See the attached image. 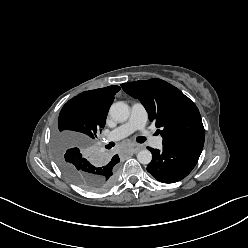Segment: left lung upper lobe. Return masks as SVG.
I'll return each mask as SVG.
<instances>
[{
	"label": "left lung upper lobe",
	"instance_id": "1",
	"mask_svg": "<svg viewBox=\"0 0 248 248\" xmlns=\"http://www.w3.org/2000/svg\"><path fill=\"white\" fill-rule=\"evenodd\" d=\"M121 87L141 101L149 119L161 128L158 131L163 137V145L188 137L205 136L198 108L173 85L154 78L124 83Z\"/></svg>",
	"mask_w": 248,
	"mask_h": 248
}]
</instances>
